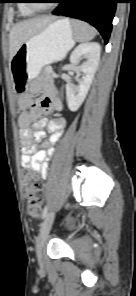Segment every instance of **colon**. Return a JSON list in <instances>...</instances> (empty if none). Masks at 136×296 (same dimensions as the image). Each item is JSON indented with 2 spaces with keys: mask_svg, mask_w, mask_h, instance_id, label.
<instances>
[{
  "mask_svg": "<svg viewBox=\"0 0 136 296\" xmlns=\"http://www.w3.org/2000/svg\"><path fill=\"white\" fill-rule=\"evenodd\" d=\"M24 189L28 196L27 210L31 217H39L42 209V196L40 191L42 184L34 176L27 172L24 175Z\"/></svg>",
  "mask_w": 136,
  "mask_h": 296,
  "instance_id": "obj_1",
  "label": "colon"
}]
</instances>
